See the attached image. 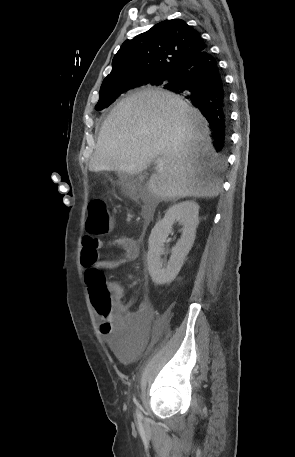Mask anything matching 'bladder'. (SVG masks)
Segmentation results:
<instances>
[{
  "label": "bladder",
  "instance_id": "bladder-1",
  "mask_svg": "<svg viewBox=\"0 0 295 457\" xmlns=\"http://www.w3.org/2000/svg\"><path fill=\"white\" fill-rule=\"evenodd\" d=\"M106 347H114V356L124 363H129L136 356H142L143 338H106Z\"/></svg>",
  "mask_w": 295,
  "mask_h": 457
}]
</instances>
